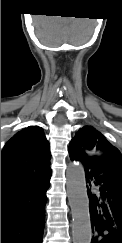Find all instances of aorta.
I'll use <instances>...</instances> for the list:
<instances>
[{
  "mask_svg": "<svg viewBox=\"0 0 122 243\" xmlns=\"http://www.w3.org/2000/svg\"><path fill=\"white\" fill-rule=\"evenodd\" d=\"M66 187L73 218V243H91L92 231L84 168L70 164L66 171Z\"/></svg>",
  "mask_w": 122,
  "mask_h": 243,
  "instance_id": "1",
  "label": "aorta"
}]
</instances>
